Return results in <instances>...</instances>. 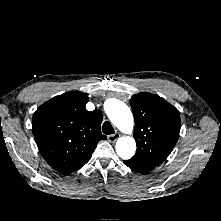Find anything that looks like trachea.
<instances>
[{
    "label": "trachea",
    "mask_w": 221,
    "mask_h": 221,
    "mask_svg": "<svg viewBox=\"0 0 221 221\" xmlns=\"http://www.w3.org/2000/svg\"><path fill=\"white\" fill-rule=\"evenodd\" d=\"M102 131L104 134L110 135L114 133V128L109 121L103 123Z\"/></svg>",
    "instance_id": "trachea-1"
}]
</instances>
